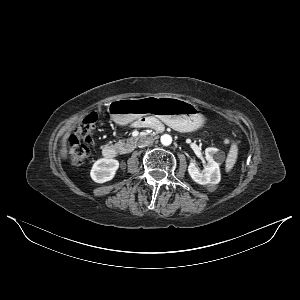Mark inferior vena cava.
I'll list each match as a JSON object with an SVG mask.
<instances>
[{
    "instance_id": "602c4592",
    "label": "inferior vena cava",
    "mask_w": 300,
    "mask_h": 300,
    "mask_svg": "<svg viewBox=\"0 0 300 300\" xmlns=\"http://www.w3.org/2000/svg\"><path fill=\"white\" fill-rule=\"evenodd\" d=\"M153 142H154V139L151 138V137L142 138V139L139 140L138 146L141 147V148L146 147L148 145L153 144Z\"/></svg>"
}]
</instances>
